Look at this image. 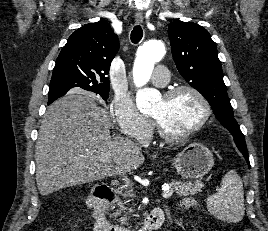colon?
I'll return each instance as SVG.
<instances>
[{
    "label": "colon",
    "mask_w": 268,
    "mask_h": 231,
    "mask_svg": "<svg viewBox=\"0 0 268 231\" xmlns=\"http://www.w3.org/2000/svg\"><path fill=\"white\" fill-rule=\"evenodd\" d=\"M45 231H51L50 228H46ZM247 231H252V230H247Z\"/></svg>",
    "instance_id": "1"
}]
</instances>
